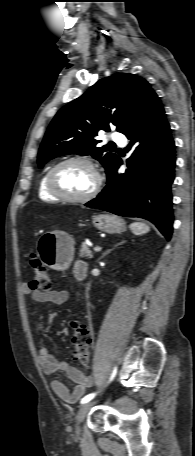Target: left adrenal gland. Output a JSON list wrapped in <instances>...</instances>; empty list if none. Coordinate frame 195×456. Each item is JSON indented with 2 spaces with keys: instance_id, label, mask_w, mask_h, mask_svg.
I'll return each instance as SVG.
<instances>
[{
  "instance_id": "a2214340",
  "label": "left adrenal gland",
  "mask_w": 195,
  "mask_h": 456,
  "mask_svg": "<svg viewBox=\"0 0 195 456\" xmlns=\"http://www.w3.org/2000/svg\"><path fill=\"white\" fill-rule=\"evenodd\" d=\"M123 243H126V241L122 240L120 243L116 244L112 249L107 250L105 253H103V255L99 258V260L102 259L103 257H105L107 254H109L113 249H115L119 245H122Z\"/></svg>"
}]
</instances>
